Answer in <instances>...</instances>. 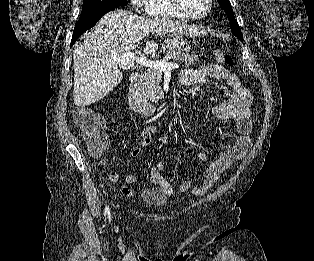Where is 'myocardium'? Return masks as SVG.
<instances>
[{
	"label": "myocardium",
	"instance_id": "myocardium-1",
	"mask_svg": "<svg viewBox=\"0 0 314 261\" xmlns=\"http://www.w3.org/2000/svg\"><path fill=\"white\" fill-rule=\"evenodd\" d=\"M170 2L176 10H178L183 16L189 19H202L206 17L212 11L214 4V0H208V8L204 13L193 14L185 8L182 0H170Z\"/></svg>",
	"mask_w": 314,
	"mask_h": 261
}]
</instances>
